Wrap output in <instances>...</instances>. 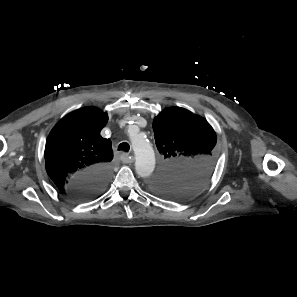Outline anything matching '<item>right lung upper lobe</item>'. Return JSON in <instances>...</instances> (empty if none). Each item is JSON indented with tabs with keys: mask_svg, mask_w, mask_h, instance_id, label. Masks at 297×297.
I'll use <instances>...</instances> for the list:
<instances>
[{
	"mask_svg": "<svg viewBox=\"0 0 297 297\" xmlns=\"http://www.w3.org/2000/svg\"><path fill=\"white\" fill-rule=\"evenodd\" d=\"M107 113L84 107L65 116L50 132L45 146L46 171L63 193L72 178L91 168L110 167V139L100 135Z\"/></svg>",
	"mask_w": 297,
	"mask_h": 297,
	"instance_id": "right-lung-upper-lobe-1",
	"label": "right lung upper lobe"
}]
</instances>
